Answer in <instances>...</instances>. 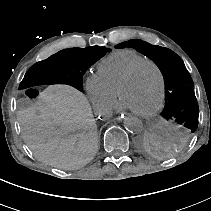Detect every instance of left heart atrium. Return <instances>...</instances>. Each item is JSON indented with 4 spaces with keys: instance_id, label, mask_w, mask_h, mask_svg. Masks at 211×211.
Listing matches in <instances>:
<instances>
[{
    "instance_id": "obj_1",
    "label": "left heart atrium",
    "mask_w": 211,
    "mask_h": 211,
    "mask_svg": "<svg viewBox=\"0 0 211 211\" xmlns=\"http://www.w3.org/2000/svg\"><path fill=\"white\" fill-rule=\"evenodd\" d=\"M124 108H128V106L122 101L116 105V109L121 110Z\"/></svg>"
}]
</instances>
